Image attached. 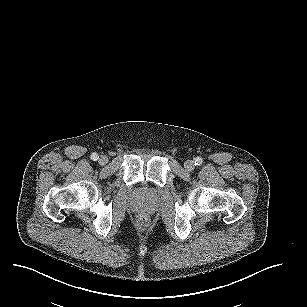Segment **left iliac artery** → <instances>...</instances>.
<instances>
[{
    "label": "left iliac artery",
    "instance_id": "1",
    "mask_svg": "<svg viewBox=\"0 0 307 307\" xmlns=\"http://www.w3.org/2000/svg\"><path fill=\"white\" fill-rule=\"evenodd\" d=\"M203 160L201 157H196L195 158V165L200 166L202 164Z\"/></svg>",
    "mask_w": 307,
    "mask_h": 307
}]
</instances>
